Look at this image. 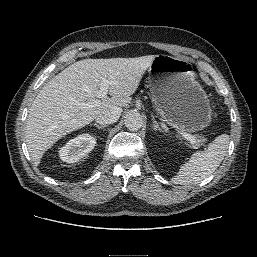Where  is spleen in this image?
<instances>
[{
  "label": "spleen",
  "instance_id": "spleen-1",
  "mask_svg": "<svg viewBox=\"0 0 257 257\" xmlns=\"http://www.w3.org/2000/svg\"><path fill=\"white\" fill-rule=\"evenodd\" d=\"M229 135L222 134L214 139L206 151H199L183 164L171 182L174 184H194L213 173L223 161L229 146Z\"/></svg>",
  "mask_w": 257,
  "mask_h": 257
}]
</instances>
